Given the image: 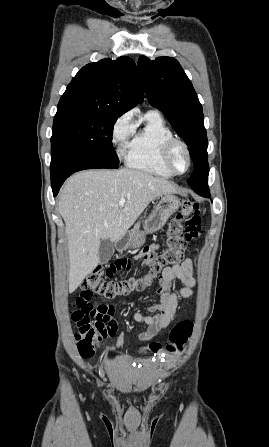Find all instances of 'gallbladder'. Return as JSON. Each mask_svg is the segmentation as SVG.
<instances>
[{
	"mask_svg": "<svg viewBox=\"0 0 269 447\" xmlns=\"http://www.w3.org/2000/svg\"><path fill=\"white\" fill-rule=\"evenodd\" d=\"M99 263H107L114 253V243L110 239H102L99 249Z\"/></svg>",
	"mask_w": 269,
	"mask_h": 447,
	"instance_id": "1",
	"label": "gallbladder"
}]
</instances>
